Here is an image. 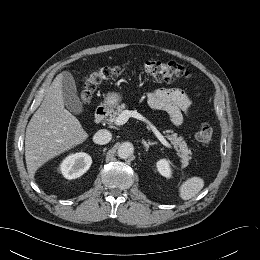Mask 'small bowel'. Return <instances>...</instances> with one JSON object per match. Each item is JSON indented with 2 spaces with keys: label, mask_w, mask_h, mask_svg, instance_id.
I'll list each match as a JSON object with an SVG mask.
<instances>
[{
  "label": "small bowel",
  "mask_w": 260,
  "mask_h": 260,
  "mask_svg": "<svg viewBox=\"0 0 260 260\" xmlns=\"http://www.w3.org/2000/svg\"><path fill=\"white\" fill-rule=\"evenodd\" d=\"M151 107L166 111L175 126L183 122V115L188 114L191 102L187 95L176 88H159L147 95Z\"/></svg>",
  "instance_id": "c3829d8e"
}]
</instances>
